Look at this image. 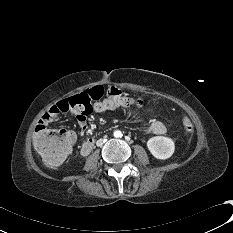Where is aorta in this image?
Returning <instances> with one entry per match:
<instances>
[{
  "instance_id": "1",
  "label": "aorta",
  "mask_w": 233,
  "mask_h": 233,
  "mask_svg": "<svg viewBox=\"0 0 233 233\" xmlns=\"http://www.w3.org/2000/svg\"><path fill=\"white\" fill-rule=\"evenodd\" d=\"M120 135H121V132H119V131H116V132L114 133V136H115V137H120Z\"/></svg>"
}]
</instances>
